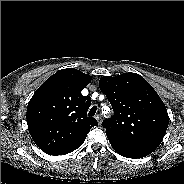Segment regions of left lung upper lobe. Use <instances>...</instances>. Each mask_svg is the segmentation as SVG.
I'll return each instance as SVG.
<instances>
[{
  "mask_svg": "<svg viewBox=\"0 0 184 184\" xmlns=\"http://www.w3.org/2000/svg\"><path fill=\"white\" fill-rule=\"evenodd\" d=\"M99 87L113 108L103 121L108 138L151 154L166 133L167 109L152 86L139 74L103 76Z\"/></svg>",
  "mask_w": 184,
  "mask_h": 184,
  "instance_id": "5c2ea615",
  "label": "left lung upper lobe"
}]
</instances>
